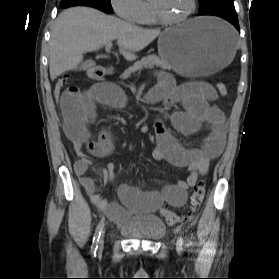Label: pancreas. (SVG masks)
Masks as SVG:
<instances>
[{"mask_svg":"<svg viewBox=\"0 0 279 279\" xmlns=\"http://www.w3.org/2000/svg\"><path fill=\"white\" fill-rule=\"evenodd\" d=\"M154 65L167 70H170L172 68V66L164 59H161L156 55H149L136 62L132 67L126 69L124 73L120 76V78L127 79L130 77L131 73L144 67H153Z\"/></svg>","mask_w":279,"mask_h":279,"instance_id":"obj_1","label":"pancreas"}]
</instances>
